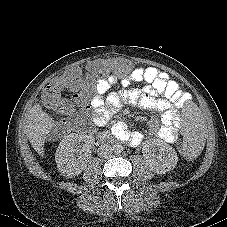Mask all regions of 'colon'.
Instances as JSON below:
<instances>
[{
	"mask_svg": "<svg viewBox=\"0 0 227 227\" xmlns=\"http://www.w3.org/2000/svg\"><path fill=\"white\" fill-rule=\"evenodd\" d=\"M89 68L93 74H102L107 70L111 73H120L122 71L129 73L133 70L134 65L129 60L124 62L120 60H111L109 62L105 60H96L90 64ZM82 86L83 78L81 69H73L48 84L42 91L41 100L46 107L56 111L57 113L71 116L75 111L74 105L62 95V91L66 89H79ZM81 121L82 119H78L76 124L81 123ZM68 124L69 122H65L62 123V125H56L53 132L60 133ZM174 148L177 150L178 156H180L184 162H193V155L186 152L185 148H183L182 142H175Z\"/></svg>",
	"mask_w": 227,
	"mask_h": 227,
	"instance_id": "colon-1",
	"label": "colon"
}]
</instances>
